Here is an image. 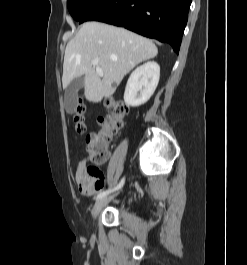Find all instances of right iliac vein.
Returning a JSON list of instances; mask_svg holds the SVG:
<instances>
[{
    "label": "right iliac vein",
    "instance_id": "obj_1",
    "mask_svg": "<svg viewBox=\"0 0 247 265\" xmlns=\"http://www.w3.org/2000/svg\"><path fill=\"white\" fill-rule=\"evenodd\" d=\"M115 195L109 196V197H104L99 199L93 206L92 208V217L95 220L96 217L98 216L99 212L101 211V209L111 201V199L114 197Z\"/></svg>",
    "mask_w": 247,
    "mask_h": 265
}]
</instances>
